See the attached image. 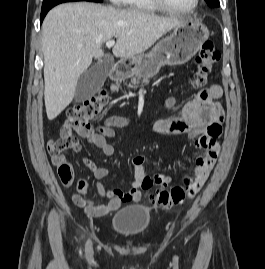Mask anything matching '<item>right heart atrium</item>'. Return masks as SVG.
I'll return each instance as SVG.
<instances>
[{
	"label": "right heart atrium",
	"mask_w": 265,
	"mask_h": 269,
	"mask_svg": "<svg viewBox=\"0 0 265 269\" xmlns=\"http://www.w3.org/2000/svg\"><path fill=\"white\" fill-rule=\"evenodd\" d=\"M114 5L122 4L124 0H109Z\"/></svg>",
	"instance_id": "right-heart-atrium-1"
}]
</instances>
